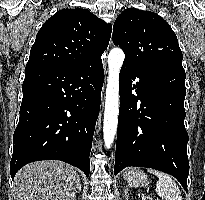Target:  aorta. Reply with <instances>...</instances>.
<instances>
[{"instance_id":"aorta-1","label":"aorta","mask_w":205,"mask_h":200,"mask_svg":"<svg viewBox=\"0 0 205 200\" xmlns=\"http://www.w3.org/2000/svg\"><path fill=\"white\" fill-rule=\"evenodd\" d=\"M125 55L122 49L113 48L108 55V80L106 88L103 137L110 148L117 132L119 114V72Z\"/></svg>"}]
</instances>
